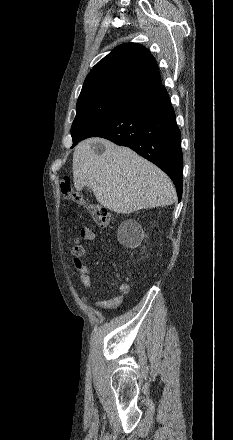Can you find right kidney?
<instances>
[{
    "instance_id": "right-kidney-1",
    "label": "right kidney",
    "mask_w": 233,
    "mask_h": 440,
    "mask_svg": "<svg viewBox=\"0 0 233 440\" xmlns=\"http://www.w3.org/2000/svg\"><path fill=\"white\" fill-rule=\"evenodd\" d=\"M117 236L121 244L130 248L139 246L144 238L141 226L132 220L125 221L120 225Z\"/></svg>"
}]
</instances>
